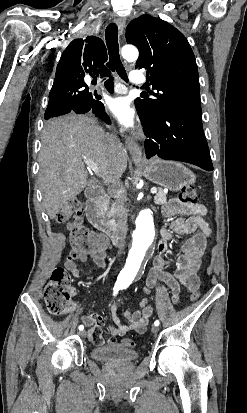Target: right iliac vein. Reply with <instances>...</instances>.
<instances>
[{"label":"right iliac vein","instance_id":"63e3f726","mask_svg":"<svg viewBox=\"0 0 247 413\" xmlns=\"http://www.w3.org/2000/svg\"><path fill=\"white\" fill-rule=\"evenodd\" d=\"M79 335H80L81 338H85L86 335H87V331H82V332L79 333Z\"/></svg>","mask_w":247,"mask_h":413}]
</instances>
